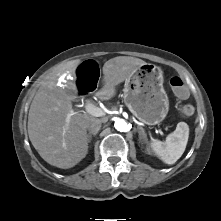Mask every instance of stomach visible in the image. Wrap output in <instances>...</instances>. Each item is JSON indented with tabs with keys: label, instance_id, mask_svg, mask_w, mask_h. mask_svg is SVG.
Returning a JSON list of instances; mask_svg holds the SVG:
<instances>
[{
	"label": "stomach",
	"instance_id": "obj_1",
	"mask_svg": "<svg viewBox=\"0 0 221 221\" xmlns=\"http://www.w3.org/2000/svg\"><path fill=\"white\" fill-rule=\"evenodd\" d=\"M124 103L132 114L147 125L164 120L169 111L163 87V73L153 64L139 66L125 81Z\"/></svg>",
	"mask_w": 221,
	"mask_h": 221
}]
</instances>
